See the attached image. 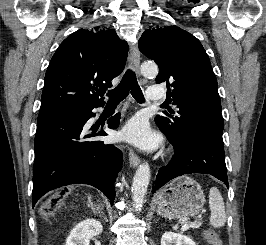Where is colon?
Here are the masks:
<instances>
[{
    "instance_id": "obj_1",
    "label": "colon",
    "mask_w": 266,
    "mask_h": 245,
    "mask_svg": "<svg viewBox=\"0 0 266 245\" xmlns=\"http://www.w3.org/2000/svg\"><path fill=\"white\" fill-rule=\"evenodd\" d=\"M64 197L60 194L56 197H51L45 201L42 206L41 213L48 217L53 215V213L63 205ZM205 236L208 240L209 245H222V241L215 232L207 230Z\"/></svg>"
}]
</instances>
